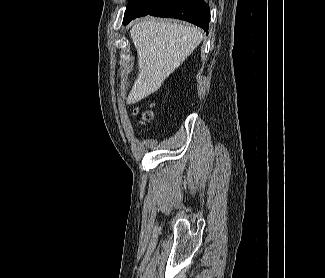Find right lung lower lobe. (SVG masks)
Listing matches in <instances>:
<instances>
[{"label": "right lung lower lobe", "mask_w": 325, "mask_h": 278, "mask_svg": "<svg viewBox=\"0 0 325 278\" xmlns=\"http://www.w3.org/2000/svg\"><path fill=\"white\" fill-rule=\"evenodd\" d=\"M145 15L185 20L204 31L210 22L209 6L203 0H135L134 11L124 18L123 24Z\"/></svg>", "instance_id": "right-lung-lower-lobe-1"}]
</instances>
